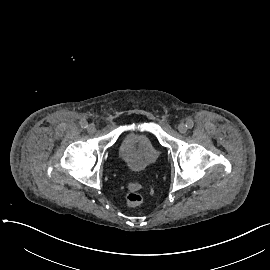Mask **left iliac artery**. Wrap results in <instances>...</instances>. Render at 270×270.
Masks as SVG:
<instances>
[{
  "label": "left iliac artery",
  "instance_id": "left-iliac-artery-1",
  "mask_svg": "<svg viewBox=\"0 0 270 270\" xmlns=\"http://www.w3.org/2000/svg\"><path fill=\"white\" fill-rule=\"evenodd\" d=\"M186 126L187 128L191 129L194 126V122L192 120H187Z\"/></svg>",
  "mask_w": 270,
  "mask_h": 270
}]
</instances>
